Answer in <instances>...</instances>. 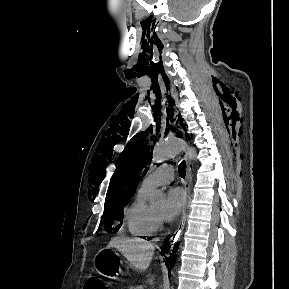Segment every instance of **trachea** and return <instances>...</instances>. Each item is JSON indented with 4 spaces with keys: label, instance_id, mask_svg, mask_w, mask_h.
<instances>
[{
    "label": "trachea",
    "instance_id": "3493384b",
    "mask_svg": "<svg viewBox=\"0 0 289 289\" xmlns=\"http://www.w3.org/2000/svg\"><path fill=\"white\" fill-rule=\"evenodd\" d=\"M186 163L185 161H182L181 164L179 165V168H178V172H179V175L184 178L185 177V174H186Z\"/></svg>",
    "mask_w": 289,
    "mask_h": 289
}]
</instances>
